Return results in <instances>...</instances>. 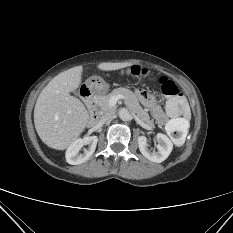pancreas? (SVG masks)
I'll use <instances>...</instances> for the list:
<instances>
[{
  "instance_id": "obj_1",
  "label": "pancreas",
  "mask_w": 233,
  "mask_h": 233,
  "mask_svg": "<svg viewBox=\"0 0 233 233\" xmlns=\"http://www.w3.org/2000/svg\"><path fill=\"white\" fill-rule=\"evenodd\" d=\"M118 95L124 96L127 106H129L132 109V111L137 115V117H139L142 121L146 122L147 124L153 125V120L150 118L147 111L140 106L136 95L132 91L125 88H117L107 95L98 96L96 98V104L99 107L100 111L106 112L109 110H114L115 106H110L109 100L111 99V97Z\"/></svg>"
}]
</instances>
